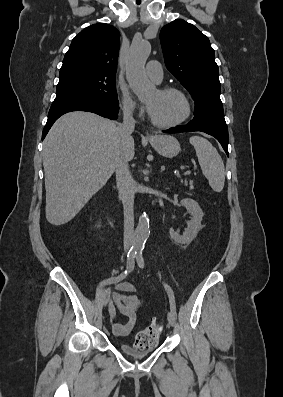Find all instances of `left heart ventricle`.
Returning a JSON list of instances; mask_svg holds the SVG:
<instances>
[{
	"label": "left heart ventricle",
	"mask_w": 283,
	"mask_h": 397,
	"mask_svg": "<svg viewBox=\"0 0 283 397\" xmlns=\"http://www.w3.org/2000/svg\"><path fill=\"white\" fill-rule=\"evenodd\" d=\"M151 106L150 115L159 122H171L179 119L185 113V103L176 93H161L154 91L146 100Z\"/></svg>",
	"instance_id": "obj_1"
}]
</instances>
